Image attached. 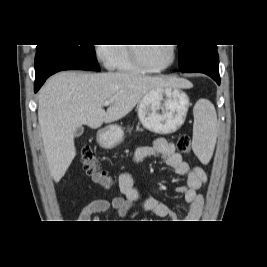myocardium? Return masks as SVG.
<instances>
[{
    "instance_id": "1",
    "label": "myocardium",
    "mask_w": 267,
    "mask_h": 267,
    "mask_svg": "<svg viewBox=\"0 0 267 267\" xmlns=\"http://www.w3.org/2000/svg\"><path fill=\"white\" fill-rule=\"evenodd\" d=\"M136 44H131L129 46V54H130V58L132 60V62L141 70L146 71V72H162L167 70L168 68H170L176 61V57H177V49L176 46L174 44H170L171 45V51H172V57L171 60L169 61V63H167L166 65L162 66V67H150L148 65H146L139 54L138 51V46H135Z\"/></svg>"
}]
</instances>
